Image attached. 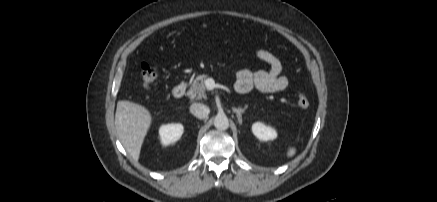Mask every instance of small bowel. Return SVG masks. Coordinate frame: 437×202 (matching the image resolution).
Returning <instances> with one entry per match:
<instances>
[{
    "label": "small bowel",
    "instance_id": "1",
    "mask_svg": "<svg viewBox=\"0 0 437 202\" xmlns=\"http://www.w3.org/2000/svg\"><path fill=\"white\" fill-rule=\"evenodd\" d=\"M255 55L268 65V69L257 71L242 69L238 71L235 83L236 92L245 94L253 88L264 93L285 90L288 86V80L282 75V64L279 58L265 49H258Z\"/></svg>",
    "mask_w": 437,
    "mask_h": 202
}]
</instances>
